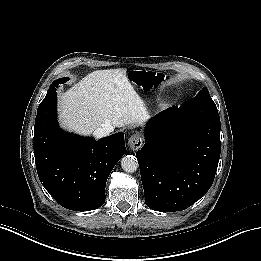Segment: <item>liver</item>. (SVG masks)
I'll list each match as a JSON object with an SVG mask.
<instances>
[{
    "instance_id": "liver-1",
    "label": "liver",
    "mask_w": 261,
    "mask_h": 261,
    "mask_svg": "<svg viewBox=\"0 0 261 261\" xmlns=\"http://www.w3.org/2000/svg\"><path fill=\"white\" fill-rule=\"evenodd\" d=\"M124 73L121 69L97 70L60 94V125L84 136L105 125L141 126L147 113L142 100L125 89Z\"/></svg>"
}]
</instances>
